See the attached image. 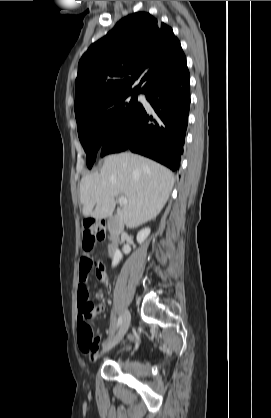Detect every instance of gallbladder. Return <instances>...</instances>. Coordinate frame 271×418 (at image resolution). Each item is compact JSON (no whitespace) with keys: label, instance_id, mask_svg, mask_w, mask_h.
Here are the masks:
<instances>
[{"label":"gallbladder","instance_id":"gallbladder-1","mask_svg":"<svg viewBox=\"0 0 271 418\" xmlns=\"http://www.w3.org/2000/svg\"><path fill=\"white\" fill-rule=\"evenodd\" d=\"M109 226H110L111 230H115V231H119L120 230V227H119V225L117 223L116 215L115 214H113V215H111L109 217Z\"/></svg>","mask_w":271,"mask_h":418}]
</instances>
